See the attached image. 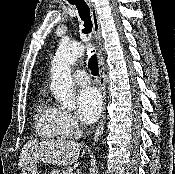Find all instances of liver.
I'll return each instance as SVG.
<instances>
[{
	"label": "liver",
	"mask_w": 175,
	"mask_h": 174,
	"mask_svg": "<svg viewBox=\"0 0 175 174\" xmlns=\"http://www.w3.org/2000/svg\"><path fill=\"white\" fill-rule=\"evenodd\" d=\"M79 155L80 145L71 140L29 141L21 150L19 166L24 168L36 162L67 166L76 162Z\"/></svg>",
	"instance_id": "6515ba94"
}]
</instances>
